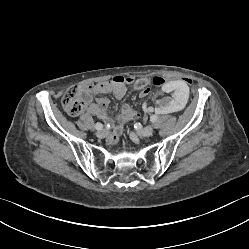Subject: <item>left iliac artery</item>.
<instances>
[{"label": "left iliac artery", "mask_w": 249, "mask_h": 249, "mask_svg": "<svg viewBox=\"0 0 249 249\" xmlns=\"http://www.w3.org/2000/svg\"><path fill=\"white\" fill-rule=\"evenodd\" d=\"M150 121H151L152 123H155V122L157 121V116H156V115H152V116L150 117Z\"/></svg>", "instance_id": "1"}]
</instances>
